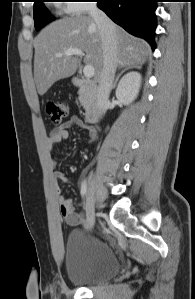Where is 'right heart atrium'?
Listing matches in <instances>:
<instances>
[{"mask_svg": "<svg viewBox=\"0 0 195 299\" xmlns=\"http://www.w3.org/2000/svg\"><path fill=\"white\" fill-rule=\"evenodd\" d=\"M90 2L89 0H69L64 4V10L67 13L84 14L90 10Z\"/></svg>", "mask_w": 195, "mask_h": 299, "instance_id": "obj_1", "label": "right heart atrium"}]
</instances>
